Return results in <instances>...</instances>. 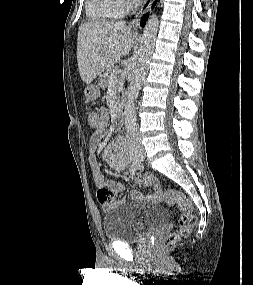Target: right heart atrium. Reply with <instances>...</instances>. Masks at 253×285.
Segmentation results:
<instances>
[{
    "label": "right heart atrium",
    "mask_w": 253,
    "mask_h": 285,
    "mask_svg": "<svg viewBox=\"0 0 253 285\" xmlns=\"http://www.w3.org/2000/svg\"><path fill=\"white\" fill-rule=\"evenodd\" d=\"M123 3L125 6H129L131 3V0H123Z\"/></svg>",
    "instance_id": "d8ad5b80"
}]
</instances>
